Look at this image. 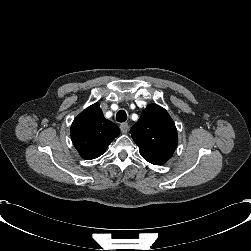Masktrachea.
Listing matches in <instances>:
<instances>
[{"mask_svg":"<svg viewBox=\"0 0 251 251\" xmlns=\"http://www.w3.org/2000/svg\"><path fill=\"white\" fill-rule=\"evenodd\" d=\"M116 120L120 123L125 122L127 120V114L124 110H119L116 114Z\"/></svg>","mask_w":251,"mask_h":251,"instance_id":"obj_1","label":"trachea"}]
</instances>
